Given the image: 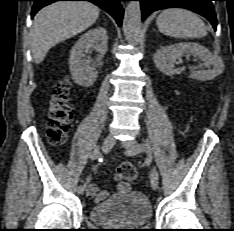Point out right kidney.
I'll return each instance as SVG.
<instances>
[{
	"label": "right kidney",
	"instance_id": "1",
	"mask_svg": "<svg viewBox=\"0 0 234 231\" xmlns=\"http://www.w3.org/2000/svg\"><path fill=\"white\" fill-rule=\"evenodd\" d=\"M90 49H95L101 55L107 52L108 36L105 28L97 27L89 30L80 37L71 49L69 68L72 79L83 87L92 86L97 78L96 68L90 66L87 60L83 59Z\"/></svg>",
	"mask_w": 234,
	"mask_h": 231
}]
</instances>
